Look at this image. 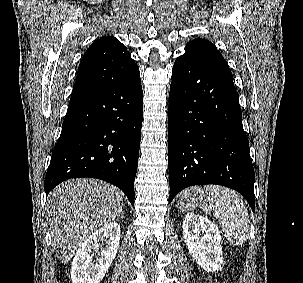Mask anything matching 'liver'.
I'll return each mask as SVG.
<instances>
[{
  "label": "liver",
  "mask_w": 303,
  "mask_h": 283,
  "mask_svg": "<svg viewBox=\"0 0 303 283\" xmlns=\"http://www.w3.org/2000/svg\"><path fill=\"white\" fill-rule=\"evenodd\" d=\"M122 196L106 182L85 178L63 182L49 194L47 220L56 255L63 264L88 236L120 215Z\"/></svg>",
  "instance_id": "1"
}]
</instances>
